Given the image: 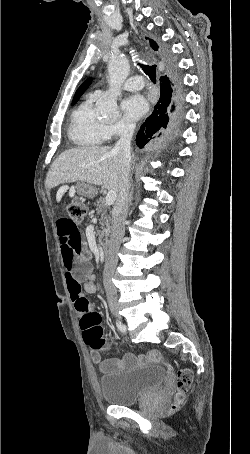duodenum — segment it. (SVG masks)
I'll use <instances>...</instances> for the list:
<instances>
[{
    "label": "duodenum",
    "instance_id": "obj_1",
    "mask_svg": "<svg viewBox=\"0 0 250 454\" xmlns=\"http://www.w3.org/2000/svg\"><path fill=\"white\" fill-rule=\"evenodd\" d=\"M104 259L108 260L111 254V243L109 241H105L102 245Z\"/></svg>",
    "mask_w": 250,
    "mask_h": 454
}]
</instances>
